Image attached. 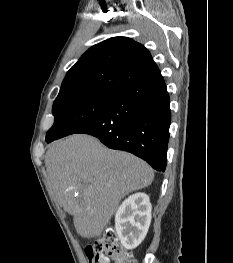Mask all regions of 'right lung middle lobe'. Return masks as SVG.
<instances>
[{"mask_svg": "<svg viewBox=\"0 0 233 263\" xmlns=\"http://www.w3.org/2000/svg\"><path fill=\"white\" fill-rule=\"evenodd\" d=\"M117 94L105 91H83L57 96L52 110L54 125L47 132L46 141L76 133L98 118Z\"/></svg>", "mask_w": 233, "mask_h": 263, "instance_id": "right-lung-middle-lobe-1", "label": "right lung middle lobe"}]
</instances>
